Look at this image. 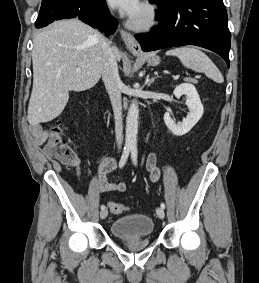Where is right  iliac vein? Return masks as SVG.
<instances>
[{"label":"right iliac vein","instance_id":"63e3f726","mask_svg":"<svg viewBox=\"0 0 259 283\" xmlns=\"http://www.w3.org/2000/svg\"><path fill=\"white\" fill-rule=\"evenodd\" d=\"M108 215V210L107 209H103L101 212H100V218L101 219H105Z\"/></svg>","mask_w":259,"mask_h":283}]
</instances>
